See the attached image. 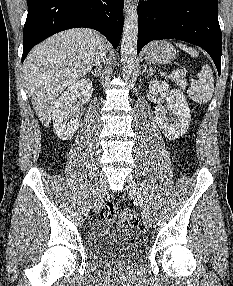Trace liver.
<instances>
[{"label":"liver","mask_w":233,"mask_h":286,"mask_svg":"<svg viewBox=\"0 0 233 286\" xmlns=\"http://www.w3.org/2000/svg\"><path fill=\"white\" fill-rule=\"evenodd\" d=\"M103 37L91 29L60 32L36 47L24 62V79L39 120L47 126L58 95L93 67Z\"/></svg>","instance_id":"6515ba94"}]
</instances>
